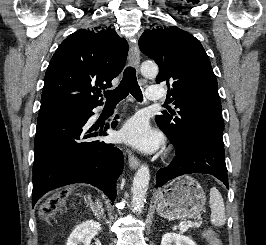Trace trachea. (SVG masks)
Returning a JSON list of instances; mask_svg holds the SVG:
<instances>
[{"label": "trachea", "instance_id": "3493384b", "mask_svg": "<svg viewBox=\"0 0 266 245\" xmlns=\"http://www.w3.org/2000/svg\"><path fill=\"white\" fill-rule=\"evenodd\" d=\"M131 92V95L139 102L143 99L141 89L137 83L135 69L127 67L124 70L123 78L117 88L105 92L107 103H118L126 98Z\"/></svg>", "mask_w": 266, "mask_h": 245}]
</instances>
